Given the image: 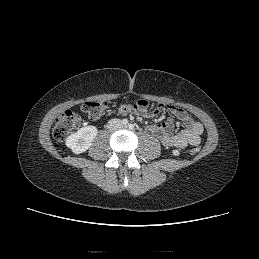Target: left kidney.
<instances>
[{
    "mask_svg": "<svg viewBox=\"0 0 259 259\" xmlns=\"http://www.w3.org/2000/svg\"><path fill=\"white\" fill-rule=\"evenodd\" d=\"M172 153H173V155H175V156H178V155L180 154L178 150H173Z\"/></svg>",
    "mask_w": 259,
    "mask_h": 259,
    "instance_id": "obj_1",
    "label": "left kidney"
}]
</instances>
